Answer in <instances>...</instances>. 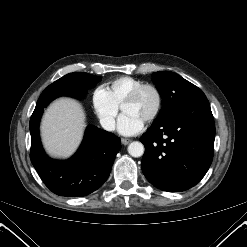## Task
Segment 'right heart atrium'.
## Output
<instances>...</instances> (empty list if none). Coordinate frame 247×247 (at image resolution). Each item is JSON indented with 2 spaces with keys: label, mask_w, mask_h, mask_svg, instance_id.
Masks as SVG:
<instances>
[{
  "label": "right heart atrium",
  "mask_w": 247,
  "mask_h": 247,
  "mask_svg": "<svg viewBox=\"0 0 247 247\" xmlns=\"http://www.w3.org/2000/svg\"><path fill=\"white\" fill-rule=\"evenodd\" d=\"M93 107L101 126L107 131H113L119 112V105L114 101L109 90L98 87L93 94Z\"/></svg>",
  "instance_id": "1"
}]
</instances>
